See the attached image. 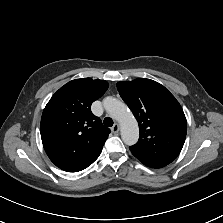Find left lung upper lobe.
<instances>
[{
    "mask_svg": "<svg viewBox=\"0 0 223 223\" xmlns=\"http://www.w3.org/2000/svg\"><path fill=\"white\" fill-rule=\"evenodd\" d=\"M120 96L139 124L140 137L130 147L142 163L166 166L181 152L187 121L175 97L156 81L138 78L117 83Z\"/></svg>",
    "mask_w": 223,
    "mask_h": 223,
    "instance_id": "1",
    "label": "left lung upper lobe"
}]
</instances>
